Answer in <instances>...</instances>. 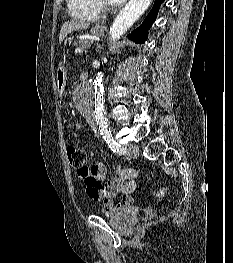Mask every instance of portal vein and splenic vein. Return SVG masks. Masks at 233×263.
<instances>
[{"label": "portal vein and splenic vein", "mask_w": 233, "mask_h": 263, "mask_svg": "<svg viewBox=\"0 0 233 263\" xmlns=\"http://www.w3.org/2000/svg\"><path fill=\"white\" fill-rule=\"evenodd\" d=\"M82 51H83V49H81V48L76 49V52H78V53H80Z\"/></svg>", "instance_id": "portal-vein-and-splenic-vein-1"}]
</instances>
